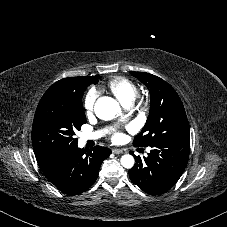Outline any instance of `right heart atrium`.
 I'll return each mask as SVG.
<instances>
[{"instance_id":"1","label":"right heart atrium","mask_w":227,"mask_h":227,"mask_svg":"<svg viewBox=\"0 0 227 227\" xmlns=\"http://www.w3.org/2000/svg\"><path fill=\"white\" fill-rule=\"evenodd\" d=\"M96 99H97V92L95 89H91L86 93L83 100V108L86 114H91L94 111Z\"/></svg>"}]
</instances>
